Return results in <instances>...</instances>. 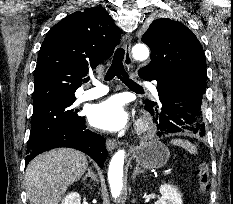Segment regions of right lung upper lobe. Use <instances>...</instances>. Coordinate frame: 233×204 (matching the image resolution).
<instances>
[{"mask_svg":"<svg viewBox=\"0 0 233 204\" xmlns=\"http://www.w3.org/2000/svg\"><path fill=\"white\" fill-rule=\"evenodd\" d=\"M120 38L119 28L102 7L66 16L53 26L41 45L33 102L75 97L82 77L113 54Z\"/></svg>","mask_w":233,"mask_h":204,"instance_id":"1","label":"right lung upper lobe"}]
</instances>
